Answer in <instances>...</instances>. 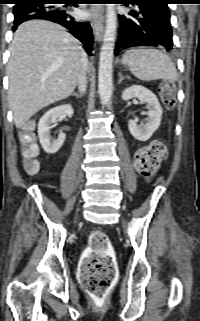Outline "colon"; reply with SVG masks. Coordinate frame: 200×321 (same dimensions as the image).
Masks as SVG:
<instances>
[{"label": "colon", "mask_w": 200, "mask_h": 321, "mask_svg": "<svg viewBox=\"0 0 200 321\" xmlns=\"http://www.w3.org/2000/svg\"><path fill=\"white\" fill-rule=\"evenodd\" d=\"M176 85L165 82L160 86V95L163 103L169 109L175 105ZM25 171L33 175L39 165L35 157L38 146L30 130L21 134ZM167 145L163 140H155L139 149L134 157L136 170L143 176L152 177L166 159ZM116 276L114 252L108 236L102 231H94L88 239V247L82 257L79 267V280L82 287L96 300H102L110 289Z\"/></svg>", "instance_id": "colon-1"}]
</instances>
